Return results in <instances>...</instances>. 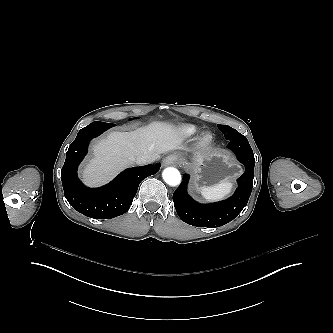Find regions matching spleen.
Returning <instances> with one entry per match:
<instances>
[{"label": "spleen", "instance_id": "obj_1", "mask_svg": "<svg viewBox=\"0 0 333 333\" xmlns=\"http://www.w3.org/2000/svg\"><path fill=\"white\" fill-rule=\"evenodd\" d=\"M234 187V183L222 180L212 186L205 187L201 190V195L207 201H217L228 196Z\"/></svg>", "mask_w": 333, "mask_h": 333}]
</instances>
